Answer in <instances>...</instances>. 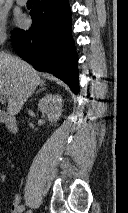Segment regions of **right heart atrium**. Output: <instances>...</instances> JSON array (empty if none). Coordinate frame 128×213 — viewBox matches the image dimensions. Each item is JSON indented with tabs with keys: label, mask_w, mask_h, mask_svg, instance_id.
I'll list each match as a JSON object with an SVG mask.
<instances>
[{
	"label": "right heart atrium",
	"mask_w": 128,
	"mask_h": 213,
	"mask_svg": "<svg viewBox=\"0 0 128 213\" xmlns=\"http://www.w3.org/2000/svg\"><path fill=\"white\" fill-rule=\"evenodd\" d=\"M7 37V16L0 10V43L4 42Z\"/></svg>",
	"instance_id": "1"
}]
</instances>
